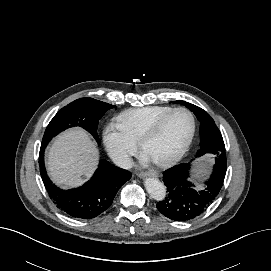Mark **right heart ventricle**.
<instances>
[{"instance_id":"right-heart-ventricle-1","label":"right heart ventricle","mask_w":271,"mask_h":271,"mask_svg":"<svg viewBox=\"0 0 271 271\" xmlns=\"http://www.w3.org/2000/svg\"><path fill=\"white\" fill-rule=\"evenodd\" d=\"M172 109L164 105L129 109L117 117L118 125L134 142H139L142 134Z\"/></svg>"}]
</instances>
